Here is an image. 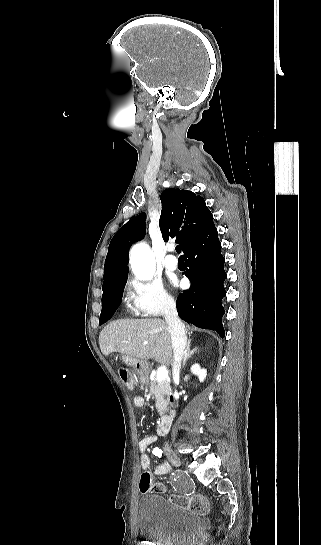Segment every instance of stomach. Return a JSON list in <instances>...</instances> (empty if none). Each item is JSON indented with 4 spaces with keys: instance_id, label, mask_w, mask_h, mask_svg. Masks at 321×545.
<instances>
[{
    "instance_id": "0dacf381",
    "label": "stomach",
    "mask_w": 321,
    "mask_h": 545,
    "mask_svg": "<svg viewBox=\"0 0 321 545\" xmlns=\"http://www.w3.org/2000/svg\"><path fill=\"white\" fill-rule=\"evenodd\" d=\"M123 361H125L128 367H132L137 375H145V371L149 369V363L146 359H134V357H128V355H123Z\"/></svg>"
}]
</instances>
